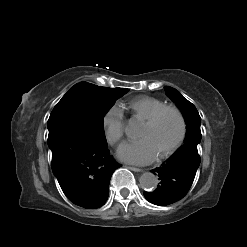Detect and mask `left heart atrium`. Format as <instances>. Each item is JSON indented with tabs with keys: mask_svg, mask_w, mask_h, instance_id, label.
I'll list each match as a JSON object with an SVG mask.
<instances>
[{
	"mask_svg": "<svg viewBox=\"0 0 247 247\" xmlns=\"http://www.w3.org/2000/svg\"><path fill=\"white\" fill-rule=\"evenodd\" d=\"M117 156L127 163L145 165L155 160L157 152L148 139L142 138L123 143L117 151Z\"/></svg>",
	"mask_w": 247,
	"mask_h": 247,
	"instance_id": "left-heart-atrium-1",
	"label": "left heart atrium"
}]
</instances>
